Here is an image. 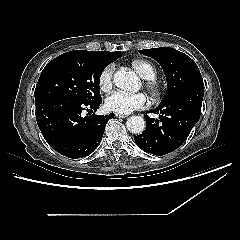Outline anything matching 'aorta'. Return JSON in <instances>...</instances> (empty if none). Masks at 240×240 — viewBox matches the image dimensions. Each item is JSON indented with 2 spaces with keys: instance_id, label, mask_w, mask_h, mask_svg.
Listing matches in <instances>:
<instances>
[{
  "instance_id": "aorta-1",
  "label": "aorta",
  "mask_w": 240,
  "mask_h": 240,
  "mask_svg": "<svg viewBox=\"0 0 240 240\" xmlns=\"http://www.w3.org/2000/svg\"><path fill=\"white\" fill-rule=\"evenodd\" d=\"M113 81L122 90L134 91L138 88L137 76L126 70L115 72ZM126 127L133 134H141L145 130V121L140 116H132L127 120Z\"/></svg>"
}]
</instances>
